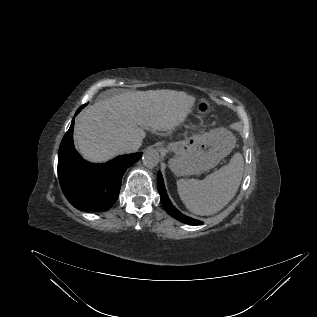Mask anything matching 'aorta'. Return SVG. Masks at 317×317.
<instances>
[{
  "instance_id": "762f6f07",
  "label": "aorta",
  "mask_w": 317,
  "mask_h": 317,
  "mask_svg": "<svg viewBox=\"0 0 317 317\" xmlns=\"http://www.w3.org/2000/svg\"><path fill=\"white\" fill-rule=\"evenodd\" d=\"M160 156L157 150L149 148L142 155L143 164L147 168H154L158 165Z\"/></svg>"
}]
</instances>
